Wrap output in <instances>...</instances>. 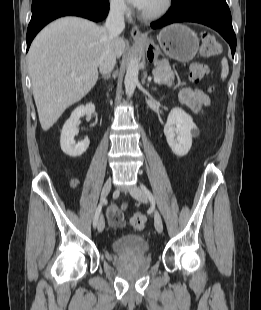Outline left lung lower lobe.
Segmentation results:
<instances>
[{
	"label": "left lung lower lobe",
	"mask_w": 261,
	"mask_h": 310,
	"mask_svg": "<svg viewBox=\"0 0 261 310\" xmlns=\"http://www.w3.org/2000/svg\"><path fill=\"white\" fill-rule=\"evenodd\" d=\"M175 22H195L218 31L229 43L234 56L236 36L226 0H175L172 7L160 20L153 22V29Z\"/></svg>",
	"instance_id": "obj_1"
}]
</instances>
